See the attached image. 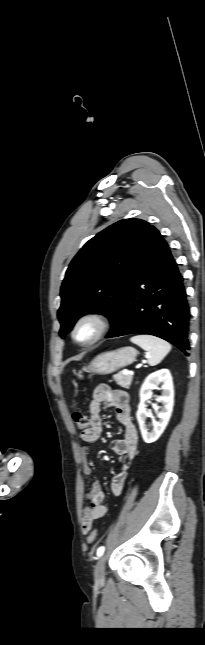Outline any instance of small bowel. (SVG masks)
I'll list each match as a JSON object with an SVG mask.
<instances>
[{
	"label": "small bowel",
	"instance_id": "obj_1",
	"mask_svg": "<svg viewBox=\"0 0 205 645\" xmlns=\"http://www.w3.org/2000/svg\"><path fill=\"white\" fill-rule=\"evenodd\" d=\"M107 403L114 407L115 415L122 426L123 437L112 442V449L122 457L121 464L111 480V492L119 496L124 488L128 475V466L134 460L138 449V433L132 423L129 397L122 390L112 389L107 384L98 385L94 391L89 406L91 422L89 428L81 434V438L86 443L96 442L103 430L101 418V404ZM84 472L87 475L92 473V465L89 461L88 452L85 447L80 450ZM89 504L83 508L82 531L88 534L94 523L103 518L107 513V507L104 504L105 493L98 482H93L87 494Z\"/></svg>",
	"mask_w": 205,
	"mask_h": 645
}]
</instances>
